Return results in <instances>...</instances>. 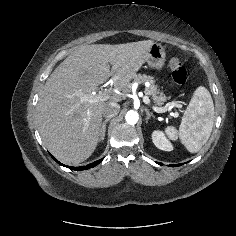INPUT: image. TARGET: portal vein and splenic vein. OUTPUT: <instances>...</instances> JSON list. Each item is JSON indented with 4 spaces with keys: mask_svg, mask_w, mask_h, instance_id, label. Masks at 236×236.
Listing matches in <instances>:
<instances>
[{
    "mask_svg": "<svg viewBox=\"0 0 236 236\" xmlns=\"http://www.w3.org/2000/svg\"><path fill=\"white\" fill-rule=\"evenodd\" d=\"M108 99H109L108 94H106L105 92H99L98 94H96L93 98L89 99L88 101L90 103H96V102L106 101ZM143 101L145 104L152 106V109L157 113H163V112L167 111V107H157V106L152 105L148 96H144ZM172 116L178 117V113L177 112L172 113Z\"/></svg>",
    "mask_w": 236,
    "mask_h": 236,
    "instance_id": "obj_1",
    "label": "portal vein and splenic vein"
}]
</instances>
